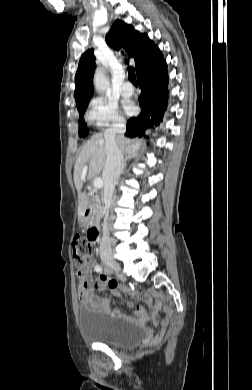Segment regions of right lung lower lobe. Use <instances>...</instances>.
<instances>
[{
	"mask_svg": "<svg viewBox=\"0 0 252 390\" xmlns=\"http://www.w3.org/2000/svg\"><path fill=\"white\" fill-rule=\"evenodd\" d=\"M138 82L141 89L139 103L141 112L128 121L125 135L144 137L145 130L159 125L168 101V76L166 64L159 69L145 71Z\"/></svg>",
	"mask_w": 252,
	"mask_h": 390,
	"instance_id": "obj_1",
	"label": "right lung lower lobe"
}]
</instances>
